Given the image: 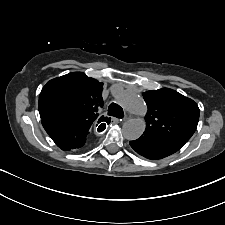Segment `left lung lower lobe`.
Masks as SVG:
<instances>
[{
  "instance_id": "0a47b994",
  "label": "left lung lower lobe",
  "mask_w": 225,
  "mask_h": 225,
  "mask_svg": "<svg viewBox=\"0 0 225 225\" xmlns=\"http://www.w3.org/2000/svg\"><path fill=\"white\" fill-rule=\"evenodd\" d=\"M186 142L175 139H156L142 135L130 141V146L141 156L158 160L177 152Z\"/></svg>"
}]
</instances>
